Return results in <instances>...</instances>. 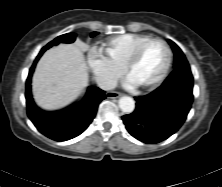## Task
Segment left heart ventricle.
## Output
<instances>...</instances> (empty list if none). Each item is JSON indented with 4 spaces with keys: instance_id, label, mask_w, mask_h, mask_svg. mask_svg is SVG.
<instances>
[{
    "instance_id": "obj_1",
    "label": "left heart ventricle",
    "mask_w": 222,
    "mask_h": 187,
    "mask_svg": "<svg viewBox=\"0 0 222 187\" xmlns=\"http://www.w3.org/2000/svg\"><path fill=\"white\" fill-rule=\"evenodd\" d=\"M167 61V51L163 44L151 42L145 46L140 58L132 67L130 79L136 83H147L156 79Z\"/></svg>"
}]
</instances>
